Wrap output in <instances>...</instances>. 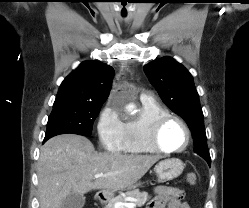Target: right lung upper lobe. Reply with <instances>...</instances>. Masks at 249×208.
<instances>
[{
  "label": "right lung upper lobe",
  "mask_w": 249,
  "mask_h": 208,
  "mask_svg": "<svg viewBox=\"0 0 249 208\" xmlns=\"http://www.w3.org/2000/svg\"><path fill=\"white\" fill-rule=\"evenodd\" d=\"M114 69L98 61H85L68 75L57 93L53 106L70 103H104Z\"/></svg>",
  "instance_id": "cb5924a9"
}]
</instances>
